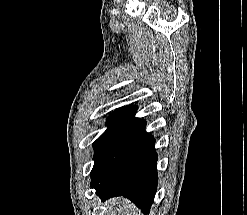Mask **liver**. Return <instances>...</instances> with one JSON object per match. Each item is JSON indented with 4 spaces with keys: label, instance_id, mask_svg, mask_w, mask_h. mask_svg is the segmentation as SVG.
I'll use <instances>...</instances> for the list:
<instances>
[{
    "label": "liver",
    "instance_id": "liver-1",
    "mask_svg": "<svg viewBox=\"0 0 247 215\" xmlns=\"http://www.w3.org/2000/svg\"><path fill=\"white\" fill-rule=\"evenodd\" d=\"M109 208H113L114 207V211H112V213L117 212V215H140L138 214L135 210H131L130 209V203L128 201H124V200H113V201H109ZM118 206L115 207V206ZM133 213V214H132Z\"/></svg>",
    "mask_w": 247,
    "mask_h": 215
}]
</instances>
